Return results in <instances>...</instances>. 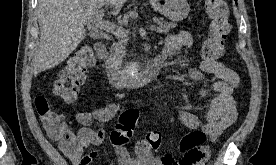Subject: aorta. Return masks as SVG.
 <instances>
[{"label": "aorta", "mask_w": 276, "mask_h": 165, "mask_svg": "<svg viewBox=\"0 0 276 165\" xmlns=\"http://www.w3.org/2000/svg\"><path fill=\"white\" fill-rule=\"evenodd\" d=\"M126 74L130 82H136L141 74L140 66L137 63H131Z\"/></svg>", "instance_id": "1"}]
</instances>
